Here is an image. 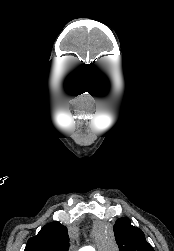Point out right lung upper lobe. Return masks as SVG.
Returning <instances> with one entry per match:
<instances>
[{"mask_svg": "<svg viewBox=\"0 0 174 251\" xmlns=\"http://www.w3.org/2000/svg\"><path fill=\"white\" fill-rule=\"evenodd\" d=\"M68 248L67 228L59 222H51L28 240L24 251H68Z\"/></svg>", "mask_w": 174, "mask_h": 251, "instance_id": "cb5924a9", "label": "right lung upper lobe"}]
</instances>
